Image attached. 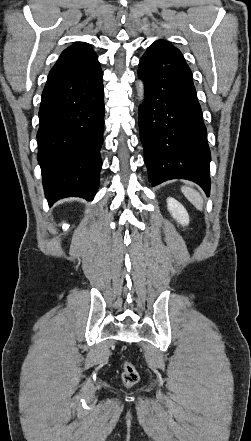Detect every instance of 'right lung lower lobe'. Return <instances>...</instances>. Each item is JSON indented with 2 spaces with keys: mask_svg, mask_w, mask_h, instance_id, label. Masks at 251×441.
I'll return each mask as SVG.
<instances>
[{
  "mask_svg": "<svg viewBox=\"0 0 251 441\" xmlns=\"http://www.w3.org/2000/svg\"><path fill=\"white\" fill-rule=\"evenodd\" d=\"M100 65L70 74L49 73L42 92L38 162L50 205L78 196L92 200L99 187L104 128Z\"/></svg>",
  "mask_w": 251,
  "mask_h": 441,
  "instance_id": "98d812e1",
  "label": "right lung lower lobe"
}]
</instances>
